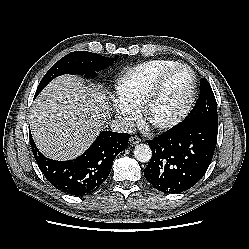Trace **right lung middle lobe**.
<instances>
[{
	"label": "right lung middle lobe",
	"instance_id": "obj_1",
	"mask_svg": "<svg viewBox=\"0 0 249 249\" xmlns=\"http://www.w3.org/2000/svg\"><path fill=\"white\" fill-rule=\"evenodd\" d=\"M118 58V56H116ZM115 58H108L96 53L75 51L56 62L44 75L36 90V96L55 77L63 74H79L95 77L96 71H101L113 65Z\"/></svg>",
	"mask_w": 249,
	"mask_h": 249
}]
</instances>
